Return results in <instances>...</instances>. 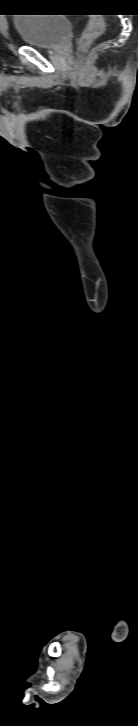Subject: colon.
<instances>
[{
	"label": "colon",
	"mask_w": 138,
	"mask_h": 726,
	"mask_svg": "<svg viewBox=\"0 0 138 726\" xmlns=\"http://www.w3.org/2000/svg\"><path fill=\"white\" fill-rule=\"evenodd\" d=\"M104 30V19L98 16L92 18L79 40V49H85L92 41L101 36Z\"/></svg>",
	"instance_id": "1"
}]
</instances>
